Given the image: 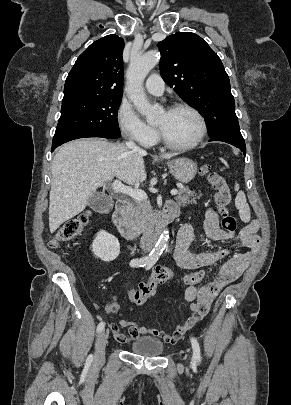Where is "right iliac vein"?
<instances>
[{"label":"right iliac vein","mask_w":291,"mask_h":405,"mask_svg":"<svg viewBox=\"0 0 291 405\" xmlns=\"http://www.w3.org/2000/svg\"><path fill=\"white\" fill-rule=\"evenodd\" d=\"M108 334L105 330H102L95 343V360L97 362H102L105 357V347L107 344Z\"/></svg>","instance_id":"63e3f726"}]
</instances>
